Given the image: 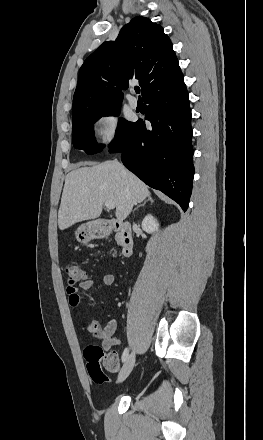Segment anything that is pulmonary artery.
<instances>
[{
    "label": "pulmonary artery",
    "mask_w": 263,
    "mask_h": 440,
    "mask_svg": "<svg viewBox=\"0 0 263 440\" xmlns=\"http://www.w3.org/2000/svg\"><path fill=\"white\" fill-rule=\"evenodd\" d=\"M128 103L130 107L134 109L138 106V100L132 95L128 96Z\"/></svg>",
    "instance_id": "1"
}]
</instances>
